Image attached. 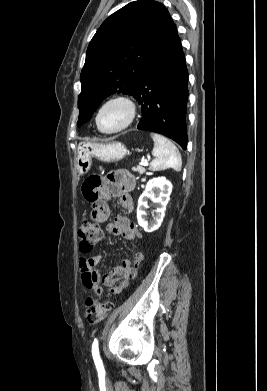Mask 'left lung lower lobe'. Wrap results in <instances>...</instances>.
Here are the masks:
<instances>
[{"instance_id":"0a47b994","label":"left lung lower lobe","mask_w":267,"mask_h":391,"mask_svg":"<svg viewBox=\"0 0 267 391\" xmlns=\"http://www.w3.org/2000/svg\"><path fill=\"white\" fill-rule=\"evenodd\" d=\"M133 96L142 108L137 128L163 134L186 149L188 71L178 34L154 58Z\"/></svg>"}]
</instances>
